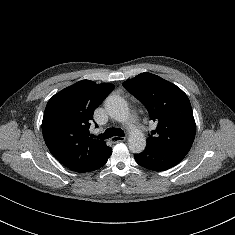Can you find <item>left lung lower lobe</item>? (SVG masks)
<instances>
[{"label":"left lung lower lobe","mask_w":235,"mask_h":235,"mask_svg":"<svg viewBox=\"0 0 235 235\" xmlns=\"http://www.w3.org/2000/svg\"><path fill=\"white\" fill-rule=\"evenodd\" d=\"M185 153L170 150L155 145H146V149L135 154L136 162L150 170L164 171L178 164L184 157Z\"/></svg>","instance_id":"0a47b994"}]
</instances>
